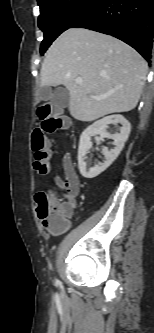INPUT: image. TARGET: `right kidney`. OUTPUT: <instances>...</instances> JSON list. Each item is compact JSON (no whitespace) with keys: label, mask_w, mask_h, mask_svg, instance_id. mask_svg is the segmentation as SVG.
Masks as SVG:
<instances>
[{"label":"right kidney","mask_w":154,"mask_h":333,"mask_svg":"<svg viewBox=\"0 0 154 333\" xmlns=\"http://www.w3.org/2000/svg\"><path fill=\"white\" fill-rule=\"evenodd\" d=\"M120 123L122 125L120 133L110 134L107 132L109 124ZM131 130V125L128 120L122 115H110L104 117L92 125L87 127L80 136L79 148H78V166L81 175L85 178H94L105 171L119 156L122 151L125 142L127 141ZM99 134L101 138H111L114 140V148L108 150L107 148L102 149V154L105 160L98 162L93 167H90L86 163V155L92 148L90 137L92 135Z\"/></svg>","instance_id":"obj_1"}]
</instances>
